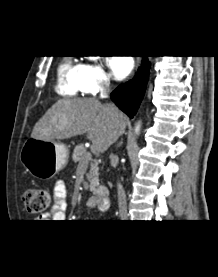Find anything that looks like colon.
I'll return each instance as SVG.
<instances>
[{
    "mask_svg": "<svg viewBox=\"0 0 218 277\" xmlns=\"http://www.w3.org/2000/svg\"><path fill=\"white\" fill-rule=\"evenodd\" d=\"M23 204L30 214H41L50 204V193L44 188H29L22 197Z\"/></svg>",
    "mask_w": 218,
    "mask_h": 277,
    "instance_id": "1",
    "label": "colon"
}]
</instances>
